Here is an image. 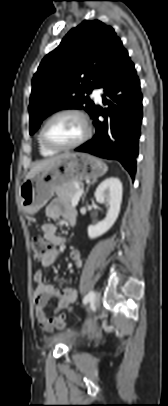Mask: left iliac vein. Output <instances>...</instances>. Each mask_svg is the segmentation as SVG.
<instances>
[{
  "instance_id": "1",
  "label": "left iliac vein",
  "mask_w": 168,
  "mask_h": 406,
  "mask_svg": "<svg viewBox=\"0 0 168 406\" xmlns=\"http://www.w3.org/2000/svg\"><path fill=\"white\" fill-rule=\"evenodd\" d=\"M101 294L100 292H94V296L91 300L92 308L97 309L100 305Z\"/></svg>"
}]
</instances>
